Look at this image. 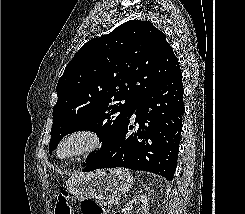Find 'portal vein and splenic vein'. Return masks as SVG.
Returning <instances> with one entry per match:
<instances>
[{
  "label": "portal vein and splenic vein",
  "mask_w": 245,
  "mask_h": 214,
  "mask_svg": "<svg viewBox=\"0 0 245 214\" xmlns=\"http://www.w3.org/2000/svg\"><path fill=\"white\" fill-rule=\"evenodd\" d=\"M119 204V202L118 201H114V205H118Z\"/></svg>",
  "instance_id": "18ae733b"
}]
</instances>
